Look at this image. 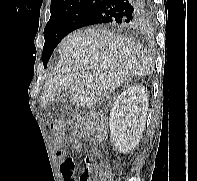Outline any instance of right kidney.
Segmentation results:
<instances>
[{
    "instance_id": "1",
    "label": "right kidney",
    "mask_w": 197,
    "mask_h": 181,
    "mask_svg": "<svg viewBox=\"0 0 197 181\" xmlns=\"http://www.w3.org/2000/svg\"><path fill=\"white\" fill-rule=\"evenodd\" d=\"M148 99L144 86L125 89L110 110V137L115 147L126 153L135 148L144 131Z\"/></svg>"
}]
</instances>
